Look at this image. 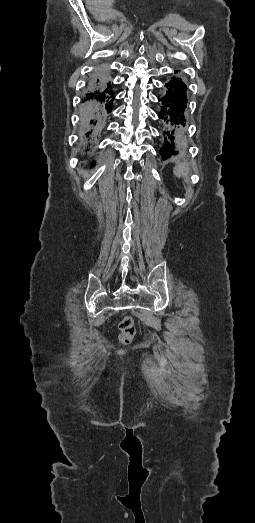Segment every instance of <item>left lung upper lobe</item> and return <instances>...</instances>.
Returning a JSON list of instances; mask_svg holds the SVG:
<instances>
[{
  "mask_svg": "<svg viewBox=\"0 0 255 523\" xmlns=\"http://www.w3.org/2000/svg\"><path fill=\"white\" fill-rule=\"evenodd\" d=\"M175 73H178V70H176ZM173 80H179V81L181 82V84H183L184 86H186L185 83H184L180 78H175V79H173ZM168 89H172V88H167V91H166V92H168ZM162 109H163V107H162ZM182 114H184V112H182ZM164 122H165V121H164ZM183 126H185V123H183ZM164 128H165V126H164ZM176 137H182V131H181V135L176 136ZM165 141H167V140H164V143H163V144H165ZM179 141H182V140H179ZM181 145H182V144L177 145L178 150L181 148ZM162 148H163V147H162ZM162 148L160 149V153H161V151H162ZM176 153H177V152H174V154H176ZM161 156H162V154H161Z\"/></svg>",
  "mask_w": 255,
  "mask_h": 523,
  "instance_id": "5c2ea615",
  "label": "left lung upper lobe"
}]
</instances>
